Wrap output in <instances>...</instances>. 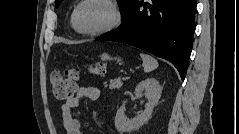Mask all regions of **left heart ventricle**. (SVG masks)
Masks as SVG:
<instances>
[{
	"label": "left heart ventricle",
	"mask_w": 239,
	"mask_h": 134,
	"mask_svg": "<svg viewBox=\"0 0 239 134\" xmlns=\"http://www.w3.org/2000/svg\"><path fill=\"white\" fill-rule=\"evenodd\" d=\"M111 20L107 6L99 2H89L81 7L77 15V25L83 31H95L105 27Z\"/></svg>",
	"instance_id": "left-heart-ventricle-1"
}]
</instances>
